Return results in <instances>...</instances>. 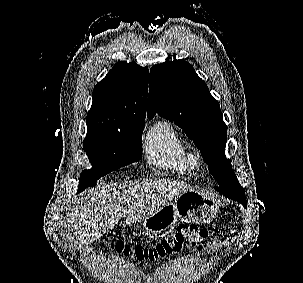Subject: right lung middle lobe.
<instances>
[{"label":"right lung middle lobe","instance_id":"right-lung-middle-lobe-1","mask_svg":"<svg viewBox=\"0 0 303 283\" xmlns=\"http://www.w3.org/2000/svg\"><path fill=\"white\" fill-rule=\"evenodd\" d=\"M144 122L121 127L88 130L83 148L92 165L79 179L78 192L93 186L106 174L142 158Z\"/></svg>","mask_w":303,"mask_h":283}]
</instances>
